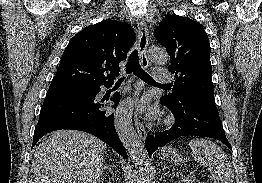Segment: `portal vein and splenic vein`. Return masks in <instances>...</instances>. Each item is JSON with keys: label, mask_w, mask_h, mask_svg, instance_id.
Segmentation results:
<instances>
[{"label": "portal vein and splenic vein", "mask_w": 262, "mask_h": 183, "mask_svg": "<svg viewBox=\"0 0 262 183\" xmlns=\"http://www.w3.org/2000/svg\"><path fill=\"white\" fill-rule=\"evenodd\" d=\"M190 178H193V176H190ZM185 181H189V177L185 178Z\"/></svg>", "instance_id": "obj_1"}]
</instances>
